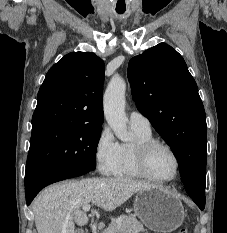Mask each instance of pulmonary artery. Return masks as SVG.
<instances>
[{
  "label": "pulmonary artery",
  "instance_id": "1",
  "mask_svg": "<svg viewBox=\"0 0 227 233\" xmlns=\"http://www.w3.org/2000/svg\"><path fill=\"white\" fill-rule=\"evenodd\" d=\"M129 124L133 129L141 130L144 132L151 131L150 121L143 114L137 111L130 112Z\"/></svg>",
  "mask_w": 227,
  "mask_h": 233
}]
</instances>
